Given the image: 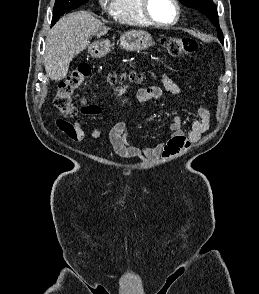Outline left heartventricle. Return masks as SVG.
<instances>
[{"label": "left heart ventricle", "instance_id": "1", "mask_svg": "<svg viewBox=\"0 0 259 294\" xmlns=\"http://www.w3.org/2000/svg\"><path fill=\"white\" fill-rule=\"evenodd\" d=\"M150 13L159 22L169 23L175 18V7L171 0H150Z\"/></svg>", "mask_w": 259, "mask_h": 294}]
</instances>
